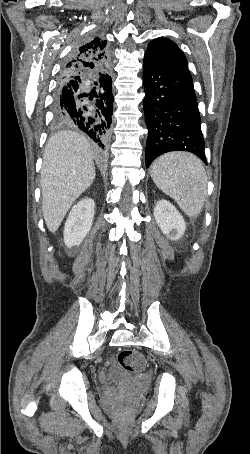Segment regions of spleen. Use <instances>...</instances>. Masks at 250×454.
Segmentation results:
<instances>
[{"instance_id":"3e777b00","label":"spleen","mask_w":250,"mask_h":454,"mask_svg":"<svg viewBox=\"0 0 250 454\" xmlns=\"http://www.w3.org/2000/svg\"><path fill=\"white\" fill-rule=\"evenodd\" d=\"M156 186L173 198L189 217L203 209L207 177L202 162L190 153L173 152L160 156L151 167Z\"/></svg>"}]
</instances>
